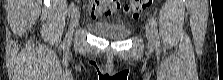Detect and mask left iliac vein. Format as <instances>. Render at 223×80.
I'll use <instances>...</instances> for the list:
<instances>
[{"label":"left iliac vein","mask_w":223,"mask_h":80,"mask_svg":"<svg viewBox=\"0 0 223 80\" xmlns=\"http://www.w3.org/2000/svg\"><path fill=\"white\" fill-rule=\"evenodd\" d=\"M145 32H146V38L148 41V45L150 48H153V46L155 45V36H154L153 30L150 27V25H146Z\"/></svg>","instance_id":"4c4485c4"}]
</instances>
